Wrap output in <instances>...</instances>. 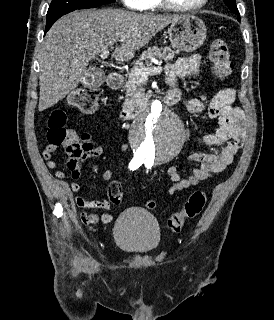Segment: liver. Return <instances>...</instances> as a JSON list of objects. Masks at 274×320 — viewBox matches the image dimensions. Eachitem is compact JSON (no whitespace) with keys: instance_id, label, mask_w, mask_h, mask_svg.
Segmentation results:
<instances>
[{"instance_id":"liver-1","label":"liver","mask_w":274,"mask_h":320,"mask_svg":"<svg viewBox=\"0 0 274 320\" xmlns=\"http://www.w3.org/2000/svg\"><path fill=\"white\" fill-rule=\"evenodd\" d=\"M178 20L165 14L126 10H76L57 20L47 32L39 56V112L51 108L83 82L89 60L114 50L117 62H129L155 34Z\"/></svg>"}]
</instances>
